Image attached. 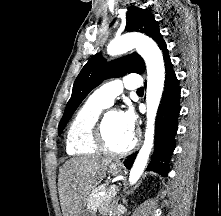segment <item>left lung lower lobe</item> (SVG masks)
I'll use <instances>...</instances> for the list:
<instances>
[{"mask_svg":"<svg viewBox=\"0 0 221 216\" xmlns=\"http://www.w3.org/2000/svg\"><path fill=\"white\" fill-rule=\"evenodd\" d=\"M163 52L165 62V86L159 105L155 122V150L154 157L147 169L167 176L169 166L167 163L175 149V135L178 129V116L180 112V87L168 54L166 43L159 47ZM137 153L129 156L124 165L131 168Z\"/></svg>","mask_w":221,"mask_h":216,"instance_id":"1","label":"left lung lower lobe"}]
</instances>
